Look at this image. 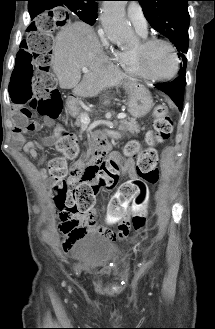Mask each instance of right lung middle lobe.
<instances>
[{"label":"right lung middle lobe","instance_id":"1","mask_svg":"<svg viewBox=\"0 0 215 329\" xmlns=\"http://www.w3.org/2000/svg\"><path fill=\"white\" fill-rule=\"evenodd\" d=\"M66 12H73L76 14L82 21L92 25L95 21V16L90 13V9L87 8L84 4L78 2H64L62 7Z\"/></svg>","mask_w":215,"mask_h":329}]
</instances>
